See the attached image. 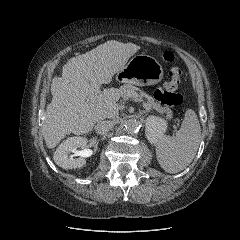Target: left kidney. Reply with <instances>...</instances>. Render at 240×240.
Wrapping results in <instances>:
<instances>
[{
    "label": "left kidney",
    "mask_w": 240,
    "mask_h": 240,
    "mask_svg": "<svg viewBox=\"0 0 240 240\" xmlns=\"http://www.w3.org/2000/svg\"><path fill=\"white\" fill-rule=\"evenodd\" d=\"M166 120L158 116H148L145 121V134L151 144H156L164 136L167 130Z\"/></svg>",
    "instance_id": "5707ae66"
}]
</instances>
